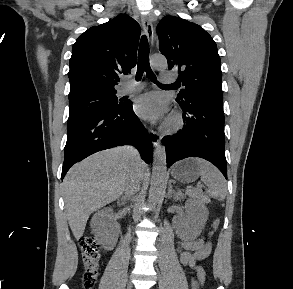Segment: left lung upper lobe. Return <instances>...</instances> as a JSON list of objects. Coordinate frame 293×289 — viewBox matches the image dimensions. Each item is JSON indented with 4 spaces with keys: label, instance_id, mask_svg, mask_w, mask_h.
<instances>
[{
    "label": "left lung upper lobe",
    "instance_id": "1",
    "mask_svg": "<svg viewBox=\"0 0 293 289\" xmlns=\"http://www.w3.org/2000/svg\"><path fill=\"white\" fill-rule=\"evenodd\" d=\"M156 30L168 68L178 69L185 86L177 99L205 97L223 102L221 62L212 37L199 25L174 16H165Z\"/></svg>",
    "mask_w": 293,
    "mask_h": 289
}]
</instances>
